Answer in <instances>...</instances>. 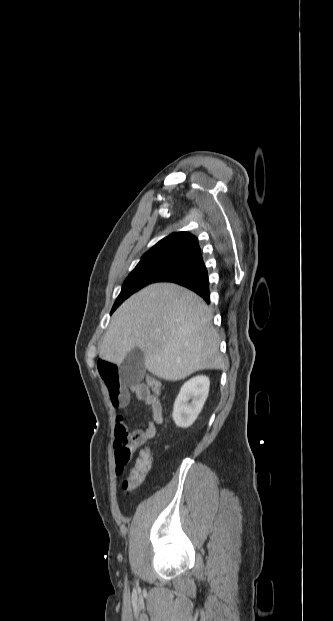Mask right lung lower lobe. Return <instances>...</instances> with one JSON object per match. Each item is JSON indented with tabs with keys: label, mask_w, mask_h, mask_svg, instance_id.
<instances>
[{
	"label": "right lung lower lobe",
	"mask_w": 333,
	"mask_h": 621,
	"mask_svg": "<svg viewBox=\"0 0 333 621\" xmlns=\"http://www.w3.org/2000/svg\"><path fill=\"white\" fill-rule=\"evenodd\" d=\"M159 282L180 284L210 303L208 273L200 251L186 259L178 269L164 276Z\"/></svg>",
	"instance_id": "98d812e1"
}]
</instances>
